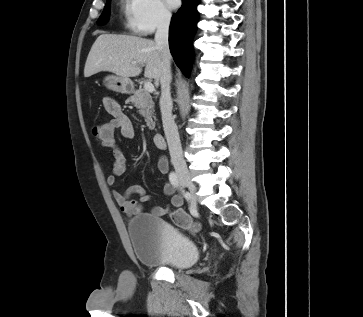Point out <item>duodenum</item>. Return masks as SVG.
<instances>
[{
	"instance_id": "1",
	"label": "duodenum",
	"mask_w": 363,
	"mask_h": 317,
	"mask_svg": "<svg viewBox=\"0 0 363 317\" xmlns=\"http://www.w3.org/2000/svg\"><path fill=\"white\" fill-rule=\"evenodd\" d=\"M152 140H153L154 145L157 148H164L166 145L165 139H164L162 133H160V132H155L152 136Z\"/></svg>"
}]
</instances>
